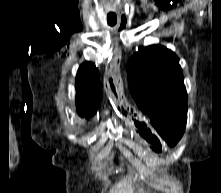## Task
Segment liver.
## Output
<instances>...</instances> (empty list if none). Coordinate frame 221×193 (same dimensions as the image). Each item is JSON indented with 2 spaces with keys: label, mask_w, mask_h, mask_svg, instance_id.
Here are the masks:
<instances>
[{
  "label": "liver",
  "mask_w": 221,
  "mask_h": 193,
  "mask_svg": "<svg viewBox=\"0 0 221 193\" xmlns=\"http://www.w3.org/2000/svg\"><path fill=\"white\" fill-rule=\"evenodd\" d=\"M111 193H118V192H114V191L112 190Z\"/></svg>",
  "instance_id": "obj_1"
}]
</instances>
